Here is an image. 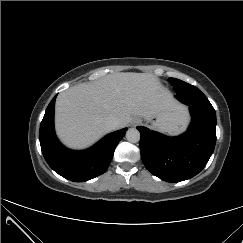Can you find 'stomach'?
<instances>
[{
  "mask_svg": "<svg viewBox=\"0 0 243 243\" xmlns=\"http://www.w3.org/2000/svg\"><path fill=\"white\" fill-rule=\"evenodd\" d=\"M153 119V126L157 127L159 130L175 133L184 129L188 121V116L186 111L166 109L157 113Z\"/></svg>",
  "mask_w": 243,
  "mask_h": 243,
  "instance_id": "0dacf381",
  "label": "stomach"
}]
</instances>
